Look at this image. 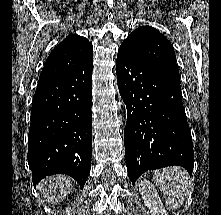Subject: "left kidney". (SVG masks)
Returning a JSON list of instances; mask_svg holds the SVG:
<instances>
[{"label":"left kidney","instance_id":"1","mask_svg":"<svg viewBox=\"0 0 221 215\" xmlns=\"http://www.w3.org/2000/svg\"><path fill=\"white\" fill-rule=\"evenodd\" d=\"M138 185L144 204L150 210L151 215H168L155 186L146 179L141 180Z\"/></svg>","mask_w":221,"mask_h":215}]
</instances>
